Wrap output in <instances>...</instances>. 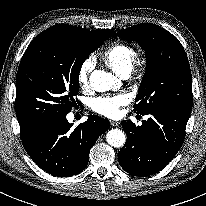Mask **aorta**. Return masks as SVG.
<instances>
[{
    "instance_id": "obj_1",
    "label": "aorta",
    "mask_w": 206,
    "mask_h": 206,
    "mask_svg": "<svg viewBox=\"0 0 206 206\" xmlns=\"http://www.w3.org/2000/svg\"><path fill=\"white\" fill-rule=\"evenodd\" d=\"M89 79L92 89L97 92L108 91L118 82L117 77L103 70H94ZM106 140L112 147L119 148L125 144L126 136L122 130L111 129L106 135Z\"/></svg>"
}]
</instances>
